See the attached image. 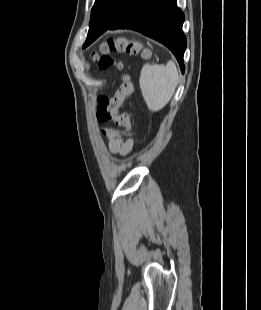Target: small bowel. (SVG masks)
<instances>
[{
    "label": "small bowel",
    "mask_w": 261,
    "mask_h": 310,
    "mask_svg": "<svg viewBox=\"0 0 261 310\" xmlns=\"http://www.w3.org/2000/svg\"><path fill=\"white\" fill-rule=\"evenodd\" d=\"M109 147L113 153H119L124 155L131 150L132 141L130 139L111 137Z\"/></svg>",
    "instance_id": "c3829d8e"
}]
</instances>
